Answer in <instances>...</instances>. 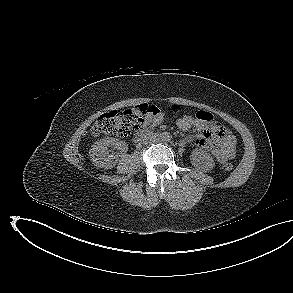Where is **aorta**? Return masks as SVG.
<instances>
[{
    "mask_svg": "<svg viewBox=\"0 0 293 293\" xmlns=\"http://www.w3.org/2000/svg\"><path fill=\"white\" fill-rule=\"evenodd\" d=\"M160 139L162 142H168L170 140V136L168 133H163L161 134Z\"/></svg>",
    "mask_w": 293,
    "mask_h": 293,
    "instance_id": "762f6f07",
    "label": "aorta"
}]
</instances>
